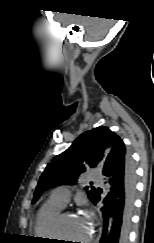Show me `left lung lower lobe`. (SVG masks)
<instances>
[{
  "mask_svg": "<svg viewBox=\"0 0 154 243\" xmlns=\"http://www.w3.org/2000/svg\"><path fill=\"white\" fill-rule=\"evenodd\" d=\"M102 172L109 192L102 201L101 212L104 229L100 243H127L131 226L135 198V168L130 154L119 150L108 156ZM102 189L92 201L96 205L101 200Z\"/></svg>",
  "mask_w": 154,
  "mask_h": 243,
  "instance_id": "left-lung-lower-lobe-1",
  "label": "left lung lower lobe"
}]
</instances>
